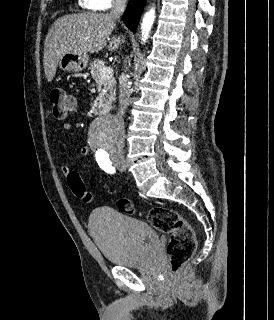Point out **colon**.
Masks as SVG:
<instances>
[{
    "label": "colon",
    "mask_w": 274,
    "mask_h": 320,
    "mask_svg": "<svg viewBox=\"0 0 274 320\" xmlns=\"http://www.w3.org/2000/svg\"><path fill=\"white\" fill-rule=\"evenodd\" d=\"M49 102L56 119H64L75 106V100L61 87L49 90ZM71 191L77 197L90 201L83 180L74 170L67 175ZM119 211L133 215L135 208L128 199H119L116 203ZM150 224L162 234H170L168 245L169 266L173 272L180 271L193 256L197 241L192 226L175 210L165 205H156L146 213Z\"/></svg>",
    "instance_id": "obj_1"
}]
</instances>
